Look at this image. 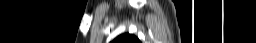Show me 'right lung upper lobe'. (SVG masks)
Returning a JSON list of instances; mask_svg holds the SVG:
<instances>
[{
	"mask_svg": "<svg viewBox=\"0 0 256 43\" xmlns=\"http://www.w3.org/2000/svg\"><path fill=\"white\" fill-rule=\"evenodd\" d=\"M112 43H141L138 38L130 34H122L118 36Z\"/></svg>",
	"mask_w": 256,
	"mask_h": 43,
	"instance_id": "1",
	"label": "right lung upper lobe"
}]
</instances>
